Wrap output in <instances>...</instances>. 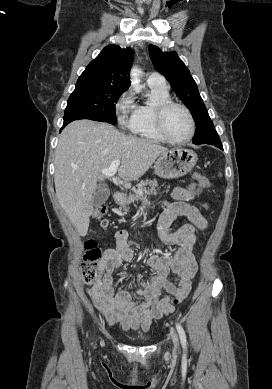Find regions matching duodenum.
Masks as SVG:
<instances>
[{"label": "duodenum", "instance_id": "1", "mask_svg": "<svg viewBox=\"0 0 272 389\" xmlns=\"http://www.w3.org/2000/svg\"><path fill=\"white\" fill-rule=\"evenodd\" d=\"M113 198L117 204L123 203V196L119 192H115Z\"/></svg>", "mask_w": 272, "mask_h": 389}]
</instances>
